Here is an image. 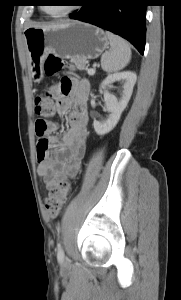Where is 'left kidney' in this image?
I'll return each mask as SVG.
<instances>
[{
  "label": "left kidney",
  "mask_w": 181,
  "mask_h": 300,
  "mask_svg": "<svg viewBox=\"0 0 181 300\" xmlns=\"http://www.w3.org/2000/svg\"><path fill=\"white\" fill-rule=\"evenodd\" d=\"M137 76L134 72L123 71L108 75L101 83V87L106 89V86L118 81L122 83L121 97H117L107 90L104 92V102L108 112V118L103 121L94 120V130L98 135H104L110 132L118 123L120 116L126 108L136 83Z\"/></svg>",
  "instance_id": "obj_1"
}]
</instances>
